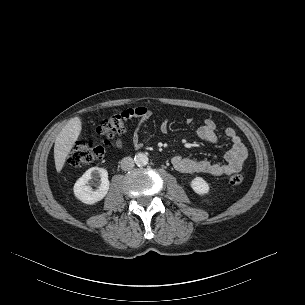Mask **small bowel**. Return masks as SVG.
Segmentation results:
<instances>
[{
	"mask_svg": "<svg viewBox=\"0 0 305 305\" xmlns=\"http://www.w3.org/2000/svg\"><path fill=\"white\" fill-rule=\"evenodd\" d=\"M132 117L138 119V122L133 131L132 142L137 148L142 146L140 133L144 125L151 118L152 112L145 106H138L128 109ZM194 119L188 117L186 123L192 124ZM169 129V120L163 119L159 124V130L166 133ZM225 136L231 141V147L225 154L224 163H213L207 160H194L184 156H174L172 164L176 170L186 174H205L211 176H227L239 172L243 169L248 157V151L237 135L236 131L228 127L224 131ZM197 135L204 141L213 144H219V139L216 134V124L212 119H205L202 125L197 129ZM115 148L121 149L122 143L119 139L115 142Z\"/></svg>",
	"mask_w": 305,
	"mask_h": 305,
	"instance_id": "small-bowel-1",
	"label": "small bowel"
}]
</instances>
